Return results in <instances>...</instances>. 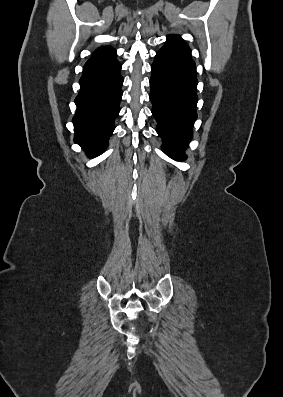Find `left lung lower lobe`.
I'll use <instances>...</instances> for the list:
<instances>
[{
	"instance_id": "1",
	"label": "left lung lower lobe",
	"mask_w": 283,
	"mask_h": 397,
	"mask_svg": "<svg viewBox=\"0 0 283 397\" xmlns=\"http://www.w3.org/2000/svg\"><path fill=\"white\" fill-rule=\"evenodd\" d=\"M194 61L165 44L151 66L150 100L157 121L163 151L171 158H185L184 150L193 138L198 96Z\"/></svg>"
}]
</instances>
